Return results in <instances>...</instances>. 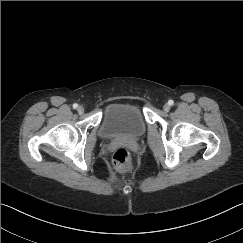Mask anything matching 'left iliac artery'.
Returning <instances> with one entry per match:
<instances>
[{
  "mask_svg": "<svg viewBox=\"0 0 243 243\" xmlns=\"http://www.w3.org/2000/svg\"><path fill=\"white\" fill-rule=\"evenodd\" d=\"M168 104L171 106V105L174 104V101H173V100H169V101H168Z\"/></svg>",
  "mask_w": 243,
  "mask_h": 243,
  "instance_id": "left-iliac-artery-1",
  "label": "left iliac artery"
}]
</instances>
